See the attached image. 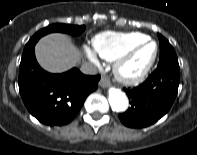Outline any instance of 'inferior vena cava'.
<instances>
[{
  "instance_id": "1",
  "label": "inferior vena cava",
  "mask_w": 197,
  "mask_h": 155,
  "mask_svg": "<svg viewBox=\"0 0 197 155\" xmlns=\"http://www.w3.org/2000/svg\"><path fill=\"white\" fill-rule=\"evenodd\" d=\"M80 70L82 73L84 74H88V75H95L97 73V68L88 62H85L81 65Z\"/></svg>"
}]
</instances>
